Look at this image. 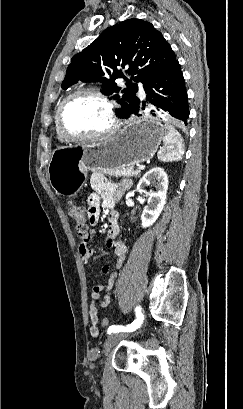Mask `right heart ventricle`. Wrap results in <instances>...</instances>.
<instances>
[{
    "instance_id": "obj_1",
    "label": "right heart ventricle",
    "mask_w": 243,
    "mask_h": 409,
    "mask_svg": "<svg viewBox=\"0 0 243 409\" xmlns=\"http://www.w3.org/2000/svg\"><path fill=\"white\" fill-rule=\"evenodd\" d=\"M59 106H60V104L57 105L56 110H55V130H56V133H57L58 138H59L61 141H67V140L60 134V132H59V130H58V127H57V112H58Z\"/></svg>"
}]
</instances>
